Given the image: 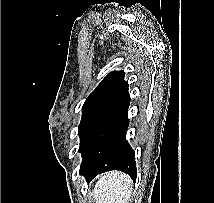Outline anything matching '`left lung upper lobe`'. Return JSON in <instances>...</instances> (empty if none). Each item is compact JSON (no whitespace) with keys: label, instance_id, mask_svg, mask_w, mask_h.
Returning <instances> with one entry per match:
<instances>
[{"label":"left lung upper lobe","instance_id":"1","mask_svg":"<svg viewBox=\"0 0 214 203\" xmlns=\"http://www.w3.org/2000/svg\"><path fill=\"white\" fill-rule=\"evenodd\" d=\"M124 75V71L109 73L88 96L82 108V119L78 129L80 141H82L86 131L95 119L128 85V83L124 81Z\"/></svg>","mask_w":214,"mask_h":203}]
</instances>
